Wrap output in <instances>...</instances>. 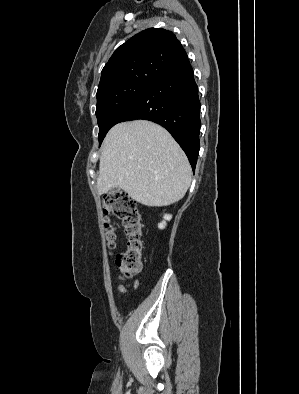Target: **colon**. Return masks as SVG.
I'll return each instance as SVG.
<instances>
[{
    "mask_svg": "<svg viewBox=\"0 0 299 394\" xmlns=\"http://www.w3.org/2000/svg\"><path fill=\"white\" fill-rule=\"evenodd\" d=\"M104 230L107 245L110 250L115 249L117 242V228L109 218L116 216L122 221L127 238V249L116 257L122 278H131L138 274L142 267L143 252V224L141 215L133 198L124 192H112L102 200Z\"/></svg>",
    "mask_w": 299,
    "mask_h": 394,
    "instance_id": "1",
    "label": "colon"
}]
</instances>
